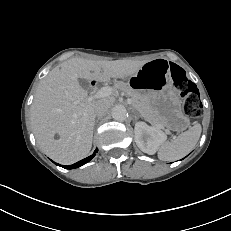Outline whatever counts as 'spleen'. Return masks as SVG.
I'll return each instance as SVG.
<instances>
[{"label": "spleen", "mask_w": 231, "mask_h": 231, "mask_svg": "<svg viewBox=\"0 0 231 231\" xmlns=\"http://www.w3.org/2000/svg\"><path fill=\"white\" fill-rule=\"evenodd\" d=\"M201 130L200 124H195L175 140L163 143L158 149V158L162 161H173L184 157L197 144Z\"/></svg>", "instance_id": "spleen-1"}]
</instances>
